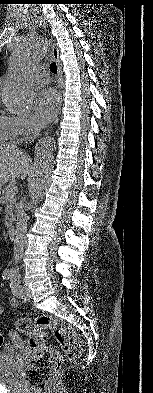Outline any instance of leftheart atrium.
<instances>
[{
    "mask_svg": "<svg viewBox=\"0 0 153 393\" xmlns=\"http://www.w3.org/2000/svg\"><path fill=\"white\" fill-rule=\"evenodd\" d=\"M60 97L58 93L51 88L41 90L35 100L33 116L40 125L50 122L58 112Z\"/></svg>",
    "mask_w": 153,
    "mask_h": 393,
    "instance_id": "1",
    "label": "left heart atrium"
}]
</instances>
